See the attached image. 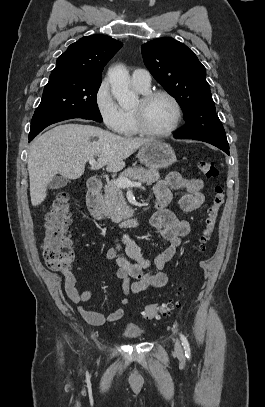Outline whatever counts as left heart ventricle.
<instances>
[{
    "label": "left heart ventricle",
    "mask_w": 265,
    "mask_h": 407,
    "mask_svg": "<svg viewBox=\"0 0 265 407\" xmlns=\"http://www.w3.org/2000/svg\"><path fill=\"white\" fill-rule=\"evenodd\" d=\"M140 101L134 107L139 108ZM176 116L175 107L165 97H157L144 108V122L146 127L154 132L167 130L174 122Z\"/></svg>",
    "instance_id": "left-heart-ventricle-1"
}]
</instances>
